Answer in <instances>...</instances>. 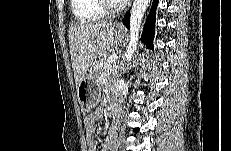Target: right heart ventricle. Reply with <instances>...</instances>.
<instances>
[{
  "instance_id": "obj_1",
  "label": "right heart ventricle",
  "mask_w": 231,
  "mask_h": 151,
  "mask_svg": "<svg viewBox=\"0 0 231 151\" xmlns=\"http://www.w3.org/2000/svg\"><path fill=\"white\" fill-rule=\"evenodd\" d=\"M72 11L79 24L98 22L105 17L98 0H73Z\"/></svg>"
}]
</instances>
